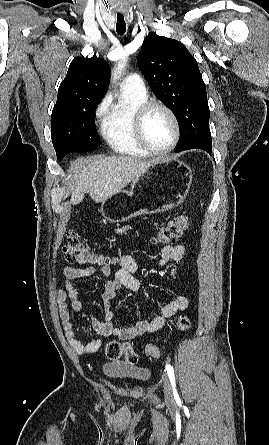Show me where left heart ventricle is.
<instances>
[{"label":"left heart ventricle","instance_id":"b2bd125f","mask_svg":"<svg viewBox=\"0 0 269 445\" xmlns=\"http://www.w3.org/2000/svg\"><path fill=\"white\" fill-rule=\"evenodd\" d=\"M144 134L153 149H166L174 136V126L169 115L158 108L151 110L144 123Z\"/></svg>","mask_w":269,"mask_h":445}]
</instances>
